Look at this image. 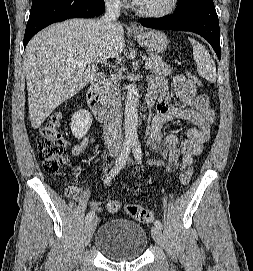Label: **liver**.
Instances as JSON below:
<instances>
[{"instance_id":"liver-1","label":"liver","mask_w":253,"mask_h":271,"mask_svg":"<svg viewBox=\"0 0 253 271\" xmlns=\"http://www.w3.org/2000/svg\"><path fill=\"white\" fill-rule=\"evenodd\" d=\"M124 47L121 25L102 32L94 19L66 20L33 37L24 62L32 127L38 129L60 104L94 79L98 64L119 57ZM81 62L83 68L78 67Z\"/></svg>"}]
</instances>
